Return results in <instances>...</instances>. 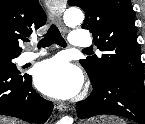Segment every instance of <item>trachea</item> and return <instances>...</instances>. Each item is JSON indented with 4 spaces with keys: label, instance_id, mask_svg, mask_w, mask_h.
Returning <instances> with one entry per match:
<instances>
[{
    "label": "trachea",
    "instance_id": "trachea-1",
    "mask_svg": "<svg viewBox=\"0 0 145 124\" xmlns=\"http://www.w3.org/2000/svg\"><path fill=\"white\" fill-rule=\"evenodd\" d=\"M25 41L27 42L29 40H25ZM52 44H57L61 47L67 46L66 41L61 36L59 29L53 24L48 29L44 38L40 40L38 48L40 49L41 47L42 48L49 47ZM84 51H89V49H84Z\"/></svg>",
    "mask_w": 145,
    "mask_h": 124
}]
</instances>
